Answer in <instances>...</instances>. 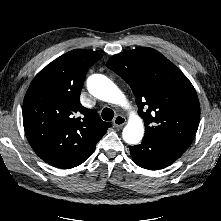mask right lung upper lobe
<instances>
[{
    "label": "right lung upper lobe",
    "instance_id": "cb5924a9",
    "mask_svg": "<svg viewBox=\"0 0 221 221\" xmlns=\"http://www.w3.org/2000/svg\"><path fill=\"white\" fill-rule=\"evenodd\" d=\"M102 55L76 49L42 69L23 102V125L35 153L48 164L70 169L83 163L111 124L80 104L88 69Z\"/></svg>",
    "mask_w": 221,
    "mask_h": 221
}]
</instances>
